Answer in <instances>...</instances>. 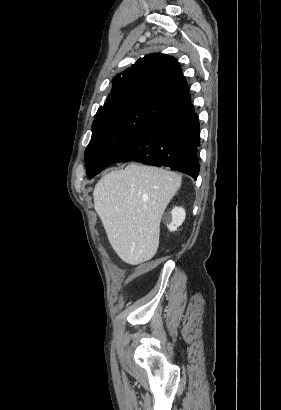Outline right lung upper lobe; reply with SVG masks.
Listing matches in <instances>:
<instances>
[{
    "label": "right lung upper lobe",
    "instance_id": "obj_1",
    "mask_svg": "<svg viewBox=\"0 0 281 410\" xmlns=\"http://www.w3.org/2000/svg\"><path fill=\"white\" fill-rule=\"evenodd\" d=\"M116 76L102 110L115 105L145 103L165 109L189 96L179 63L162 53L148 54Z\"/></svg>",
    "mask_w": 281,
    "mask_h": 410
}]
</instances>
